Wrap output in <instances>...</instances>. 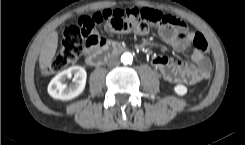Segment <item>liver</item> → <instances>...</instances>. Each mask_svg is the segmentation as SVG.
Instances as JSON below:
<instances>
[{"mask_svg": "<svg viewBox=\"0 0 245 145\" xmlns=\"http://www.w3.org/2000/svg\"><path fill=\"white\" fill-rule=\"evenodd\" d=\"M58 46V33L52 31L45 38L39 56V66L43 71L45 70L52 62Z\"/></svg>", "mask_w": 245, "mask_h": 145, "instance_id": "obj_1", "label": "liver"}]
</instances>
